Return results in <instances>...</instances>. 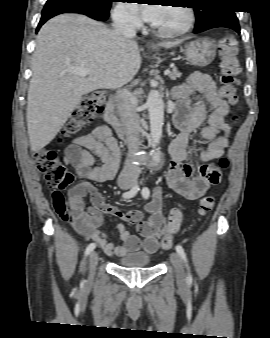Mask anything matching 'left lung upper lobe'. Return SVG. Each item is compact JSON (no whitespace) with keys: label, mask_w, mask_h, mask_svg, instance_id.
Returning a JSON list of instances; mask_svg holds the SVG:
<instances>
[{"label":"left lung upper lobe","mask_w":270,"mask_h":338,"mask_svg":"<svg viewBox=\"0 0 270 338\" xmlns=\"http://www.w3.org/2000/svg\"><path fill=\"white\" fill-rule=\"evenodd\" d=\"M229 0H194L199 5L194 7L196 16V31L203 29L210 22L235 11L227 8Z\"/></svg>","instance_id":"1"}]
</instances>
